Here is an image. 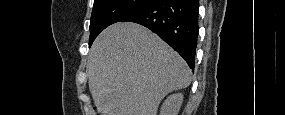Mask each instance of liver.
Listing matches in <instances>:
<instances>
[{"label":"liver","mask_w":285,"mask_h":115,"mask_svg":"<svg viewBox=\"0 0 285 115\" xmlns=\"http://www.w3.org/2000/svg\"><path fill=\"white\" fill-rule=\"evenodd\" d=\"M87 72L102 115H157L162 99L188 87L192 75L177 52L131 22L101 32L90 49Z\"/></svg>","instance_id":"6515ba94"}]
</instances>
